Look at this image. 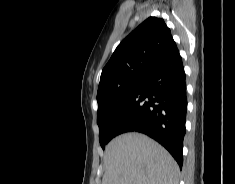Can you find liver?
<instances>
[{"mask_svg":"<svg viewBox=\"0 0 235 184\" xmlns=\"http://www.w3.org/2000/svg\"><path fill=\"white\" fill-rule=\"evenodd\" d=\"M102 184H179V168L160 144L144 134H122L106 146Z\"/></svg>","mask_w":235,"mask_h":184,"instance_id":"liver-1","label":"liver"}]
</instances>
